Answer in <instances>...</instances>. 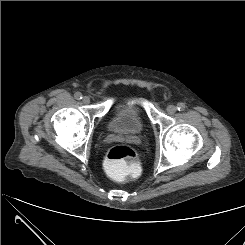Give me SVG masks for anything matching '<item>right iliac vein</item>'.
<instances>
[{
	"label": "right iliac vein",
	"mask_w": 245,
	"mask_h": 245,
	"mask_svg": "<svg viewBox=\"0 0 245 245\" xmlns=\"http://www.w3.org/2000/svg\"><path fill=\"white\" fill-rule=\"evenodd\" d=\"M84 104H89L90 103V98L88 96H84L82 99Z\"/></svg>",
	"instance_id": "obj_1"
}]
</instances>
